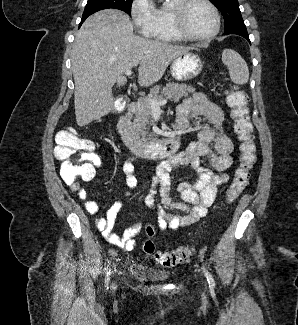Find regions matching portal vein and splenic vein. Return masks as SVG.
Segmentation results:
<instances>
[{
    "mask_svg": "<svg viewBox=\"0 0 298 325\" xmlns=\"http://www.w3.org/2000/svg\"><path fill=\"white\" fill-rule=\"evenodd\" d=\"M124 74L126 76H130L132 74V70H125ZM148 104L151 106L152 112H162V104H167L168 100L165 98V100H157V98H146Z\"/></svg>",
    "mask_w": 298,
    "mask_h": 325,
    "instance_id": "obj_1",
    "label": "portal vein and splenic vein"
}]
</instances>
